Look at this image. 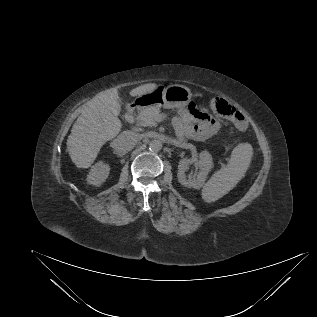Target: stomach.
Returning <instances> with one entry per match:
<instances>
[{
    "label": "stomach",
    "instance_id": "1",
    "mask_svg": "<svg viewBox=\"0 0 317 317\" xmlns=\"http://www.w3.org/2000/svg\"><path fill=\"white\" fill-rule=\"evenodd\" d=\"M192 93L189 88L183 85H170L167 88L158 86L155 90L145 93L136 98L139 106L163 107L166 109L183 108L189 104Z\"/></svg>",
    "mask_w": 317,
    "mask_h": 317
}]
</instances>
